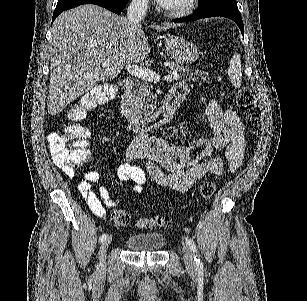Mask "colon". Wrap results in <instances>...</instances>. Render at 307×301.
Returning a JSON list of instances; mask_svg holds the SVG:
<instances>
[{
    "label": "colon",
    "mask_w": 307,
    "mask_h": 301,
    "mask_svg": "<svg viewBox=\"0 0 307 301\" xmlns=\"http://www.w3.org/2000/svg\"><path fill=\"white\" fill-rule=\"evenodd\" d=\"M206 78V75L204 76ZM118 86L105 83L92 88L82 95L67 110L66 115L69 123L57 133L49 135L47 142L51 155L58 165L66 166L77 170L82 165L92 160L91 152L88 149V131L79 123L87 113L97 106L107 103L115 97ZM237 107L242 111H250L256 101L249 88H242L236 97ZM254 119L249 118V125H254ZM215 191L213 182H205L200 188L202 198H210ZM111 219L118 226H126L130 222V215L123 209H116L111 214ZM169 225V218L166 216L144 217L137 222V226L142 229L160 228Z\"/></svg>",
    "instance_id": "5ec220e1"
}]
</instances>
